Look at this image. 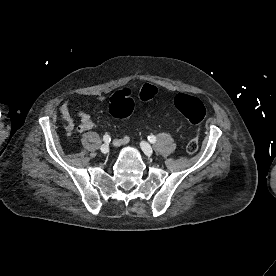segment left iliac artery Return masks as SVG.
I'll use <instances>...</instances> for the list:
<instances>
[{"mask_svg": "<svg viewBox=\"0 0 276 276\" xmlns=\"http://www.w3.org/2000/svg\"><path fill=\"white\" fill-rule=\"evenodd\" d=\"M148 140L151 142V143H155L156 142V137L154 135H150L148 136Z\"/></svg>", "mask_w": 276, "mask_h": 276, "instance_id": "left-iliac-artery-1", "label": "left iliac artery"}]
</instances>
